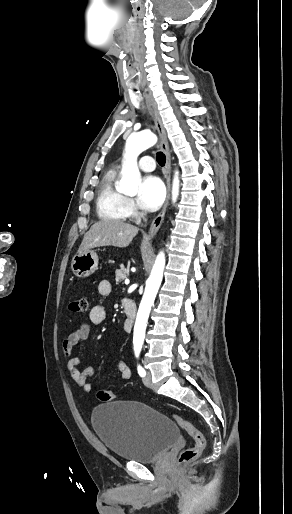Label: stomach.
<instances>
[{
    "instance_id": "1",
    "label": "stomach",
    "mask_w": 292,
    "mask_h": 514,
    "mask_svg": "<svg viewBox=\"0 0 292 514\" xmlns=\"http://www.w3.org/2000/svg\"><path fill=\"white\" fill-rule=\"evenodd\" d=\"M98 268V256L94 250L78 252L72 258L71 270L77 278H88Z\"/></svg>"
}]
</instances>
